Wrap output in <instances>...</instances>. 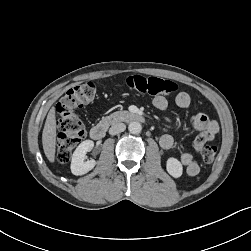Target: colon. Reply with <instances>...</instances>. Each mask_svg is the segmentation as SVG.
I'll return each instance as SVG.
<instances>
[{
	"mask_svg": "<svg viewBox=\"0 0 251 251\" xmlns=\"http://www.w3.org/2000/svg\"><path fill=\"white\" fill-rule=\"evenodd\" d=\"M123 84L131 90L153 96L169 95L177 89V85L171 80L141 75H130L124 78ZM96 92L95 83L90 81L79 83L68 89L58 102L56 106L59 129L57 160L60 163H67L70 160L73 150L85 134L77 109L91 103ZM216 153L215 144L203 146L201 149L202 159L206 163H211Z\"/></svg>",
	"mask_w": 251,
	"mask_h": 251,
	"instance_id": "1",
	"label": "colon"
}]
</instances>
